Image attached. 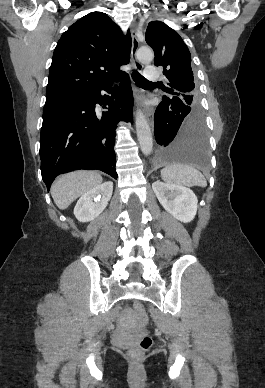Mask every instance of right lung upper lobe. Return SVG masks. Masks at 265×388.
<instances>
[{
	"label": "right lung upper lobe",
	"instance_id": "1",
	"mask_svg": "<svg viewBox=\"0 0 265 388\" xmlns=\"http://www.w3.org/2000/svg\"><path fill=\"white\" fill-rule=\"evenodd\" d=\"M131 36L103 12H91L63 33L54 50L46 101L60 100L112 83L124 74Z\"/></svg>",
	"mask_w": 265,
	"mask_h": 388
}]
</instances>
